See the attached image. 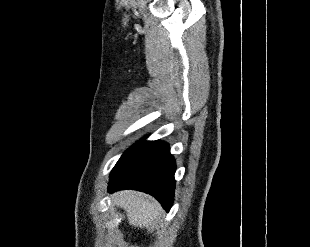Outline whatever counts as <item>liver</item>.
Returning a JSON list of instances; mask_svg holds the SVG:
<instances>
[{
    "label": "liver",
    "mask_w": 310,
    "mask_h": 247,
    "mask_svg": "<svg viewBox=\"0 0 310 247\" xmlns=\"http://www.w3.org/2000/svg\"><path fill=\"white\" fill-rule=\"evenodd\" d=\"M114 203L127 211L129 224L148 228L156 222L160 205L149 196L135 191H122L114 194Z\"/></svg>",
    "instance_id": "1"
}]
</instances>
